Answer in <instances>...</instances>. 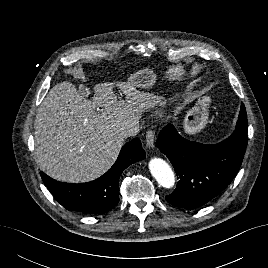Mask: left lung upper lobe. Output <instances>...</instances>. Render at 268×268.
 <instances>
[{
  "instance_id": "1",
  "label": "left lung upper lobe",
  "mask_w": 268,
  "mask_h": 268,
  "mask_svg": "<svg viewBox=\"0 0 268 268\" xmlns=\"http://www.w3.org/2000/svg\"><path fill=\"white\" fill-rule=\"evenodd\" d=\"M239 126L244 127V128H247V114H246L245 108L240 109V113H239V117H238V122H237L236 128L239 127ZM242 139L245 142H247L248 141L247 134L243 135Z\"/></svg>"
}]
</instances>
